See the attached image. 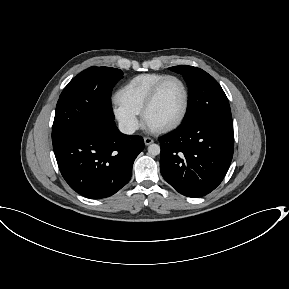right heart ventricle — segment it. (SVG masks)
<instances>
[{
  "mask_svg": "<svg viewBox=\"0 0 289 289\" xmlns=\"http://www.w3.org/2000/svg\"><path fill=\"white\" fill-rule=\"evenodd\" d=\"M166 76L167 74L163 73H145L135 76L119 89L116 95L117 101L134 113L140 114L153 86Z\"/></svg>",
  "mask_w": 289,
  "mask_h": 289,
  "instance_id": "right-heart-ventricle-1",
  "label": "right heart ventricle"
}]
</instances>
